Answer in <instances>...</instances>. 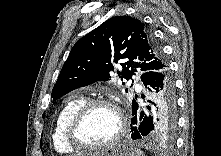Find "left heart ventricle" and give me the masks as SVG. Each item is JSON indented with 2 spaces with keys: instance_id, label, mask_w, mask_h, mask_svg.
Returning <instances> with one entry per match:
<instances>
[{
  "instance_id": "obj_1",
  "label": "left heart ventricle",
  "mask_w": 221,
  "mask_h": 156,
  "mask_svg": "<svg viewBox=\"0 0 221 156\" xmlns=\"http://www.w3.org/2000/svg\"><path fill=\"white\" fill-rule=\"evenodd\" d=\"M118 119L108 107L91 110L78 128L79 139L87 144H100L109 140L117 131Z\"/></svg>"
}]
</instances>
